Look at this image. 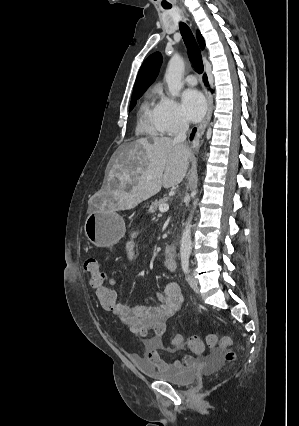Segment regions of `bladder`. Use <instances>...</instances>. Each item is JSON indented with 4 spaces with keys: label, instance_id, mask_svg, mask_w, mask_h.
Listing matches in <instances>:
<instances>
[{
    "label": "bladder",
    "instance_id": "obj_1",
    "mask_svg": "<svg viewBox=\"0 0 299 426\" xmlns=\"http://www.w3.org/2000/svg\"><path fill=\"white\" fill-rule=\"evenodd\" d=\"M140 370L148 377L156 381L167 382L179 387H186L191 385L196 377V371L191 367L182 366H167L158 368L151 364L146 363L142 359L135 361Z\"/></svg>",
    "mask_w": 299,
    "mask_h": 426
}]
</instances>
